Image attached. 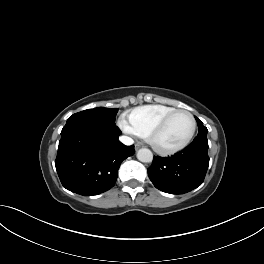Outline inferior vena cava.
Wrapping results in <instances>:
<instances>
[{
    "instance_id": "1",
    "label": "inferior vena cava",
    "mask_w": 264,
    "mask_h": 264,
    "mask_svg": "<svg viewBox=\"0 0 264 264\" xmlns=\"http://www.w3.org/2000/svg\"><path fill=\"white\" fill-rule=\"evenodd\" d=\"M119 140L121 143H123L124 145H132L134 143L133 139L128 137V136H121L119 137Z\"/></svg>"
}]
</instances>
